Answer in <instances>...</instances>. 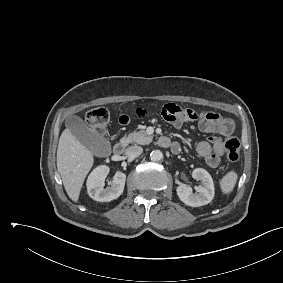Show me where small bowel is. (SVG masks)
<instances>
[{
	"label": "small bowel",
	"instance_id": "small-bowel-1",
	"mask_svg": "<svg viewBox=\"0 0 283 283\" xmlns=\"http://www.w3.org/2000/svg\"><path fill=\"white\" fill-rule=\"evenodd\" d=\"M138 115H144L145 110L137 109ZM162 116L175 128L179 129L186 122H196L200 131L210 134L208 138L201 141L197 147V153L204 158L210 168H216L224 154V147L220 136H228L234 130V122L230 118L221 116L213 111H197L190 108H182L174 103L166 104L162 109ZM129 116L123 114L119 117L121 124L129 123ZM180 151V145L173 142Z\"/></svg>",
	"mask_w": 283,
	"mask_h": 283
}]
</instances>
